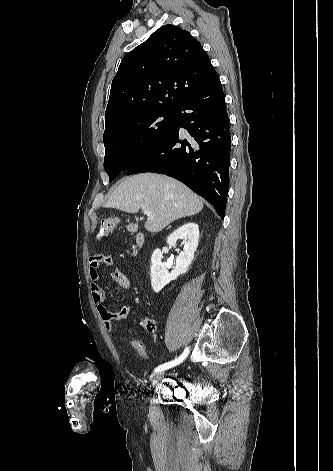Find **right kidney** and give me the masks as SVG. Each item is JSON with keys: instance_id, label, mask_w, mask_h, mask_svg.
Returning a JSON list of instances; mask_svg holds the SVG:
<instances>
[{"instance_id": "ca27d5eb", "label": "right kidney", "mask_w": 333, "mask_h": 471, "mask_svg": "<svg viewBox=\"0 0 333 471\" xmlns=\"http://www.w3.org/2000/svg\"><path fill=\"white\" fill-rule=\"evenodd\" d=\"M179 239L184 240V249L177 257L176 267L171 273L162 263L163 253L160 249L154 250L151 256V286L156 293L160 292L170 281L187 272L198 246V225L194 222L184 224L167 238V243L169 246H175Z\"/></svg>"}]
</instances>
